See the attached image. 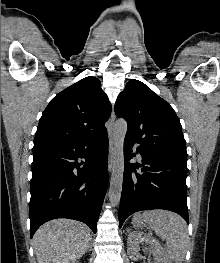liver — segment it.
<instances>
[{
  "label": "liver",
  "instance_id": "obj_1",
  "mask_svg": "<svg viewBox=\"0 0 220 263\" xmlns=\"http://www.w3.org/2000/svg\"><path fill=\"white\" fill-rule=\"evenodd\" d=\"M88 227L78 221L56 219L42 225L33 237L38 263H69L82 257L90 241Z\"/></svg>",
  "mask_w": 220,
  "mask_h": 263
}]
</instances>
